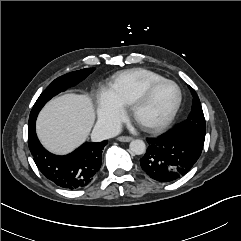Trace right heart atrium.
<instances>
[{
    "mask_svg": "<svg viewBox=\"0 0 241 241\" xmlns=\"http://www.w3.org/2000/svg\"><path fill=\"white\" fill-rule=\"evenodd\" d=\"M97 98L98 122L105 130L112 132L124 119L125 108L117 100L110 87H101L97 92Z\"/></svg>",
    "mask_w": 241,
    "mask_h": 241,
    "instance_id": "d8ad5b80",
    "label": "right heart atrium"
}]
</instances>
